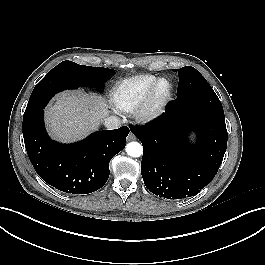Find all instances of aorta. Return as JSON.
<instances>
[{
	"label": "aorta",
	"mask_w": 265,
	"mask_h": 265,
	"mask_svg": "<svg viewBox=\"0 0 265 265\" xmlns=\"http://www.w3.org/2000/svg\"><path fill=\"white\" fill-rule=\"evenodd\" d=\"M126 153L134 158L140 157L143 153V147L138 142H130L126 145Z\"/></svg>",
	"instance_id": "762f6f07"
}]
</instances>
